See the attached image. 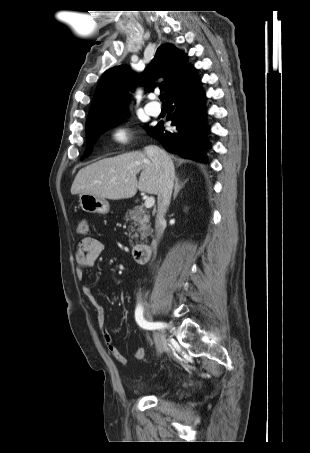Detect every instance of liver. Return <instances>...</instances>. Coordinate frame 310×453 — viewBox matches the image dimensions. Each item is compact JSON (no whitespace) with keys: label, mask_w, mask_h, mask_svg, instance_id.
Instances as JSON below:
<instances>
[{"label":"liver","mask_w":310,"mask_h":453,"mask_svg":"<svg viewBox=\"0 0 310 453\" xmlns=\"http://www.w3.org/2000/svg\"><path fill=\"white\" fill-rule=\"evenodd\" d=\"M159 188L160 170L146 153L135 151L105 158L80 169L71 186V194L120 200L132 198L137 190L158 195Z\"/></svg>","instance_id":"obj_1"}]
</instances>
